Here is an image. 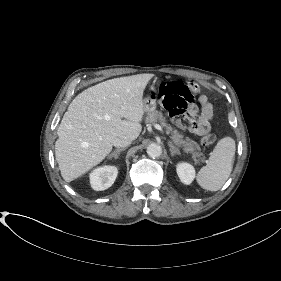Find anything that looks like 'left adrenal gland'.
<instances>
[{
	"instance_id": "obj_1",
	"label": "left adrenal gland",
	"mask_w": 281,
	"mask_h": 281,
	"mask_svg": "<svg viewBox=\"0 0 281 281\" xmlns=\"http://www.w3.org/2000/svg\"><path fill=\"white\" fill-rule=\"evenodd\" d=\"M168 146L170 147V154L173 157L174 155L178 154L180 155V151L177 147H175L172 142H168Z\"/></svg>"
}]
</instances>
